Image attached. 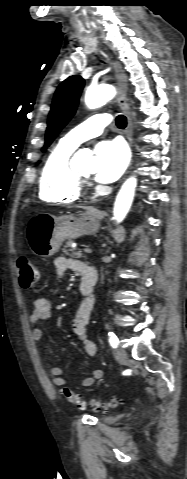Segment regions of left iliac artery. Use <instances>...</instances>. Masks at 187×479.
I'll list each match as a JSON object with an SVG mask.
<instances>
[{"label":"left iliac artery","mask_w":187,"mask_h":479,"mask_svg":"<svg viewBox=\"0 0 187 479\" xmlns=\"http://www.w3.org/2000/svg\"><path fill=\"white\" fill-rule=\"evenodd\" d=\"M109 343L113 348H117L118 346V338L113 332H109Z\"/></svg>","instance_id":"obj_1"}]
</instances>
